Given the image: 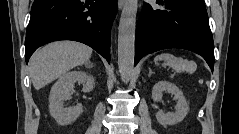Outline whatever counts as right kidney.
<instances>
[{
  "label": "right kidney",
  "mask_w": 239,
  "mask_h": 134,
  "mask_svg": "<svg viewBox=\"0 0 239 134\" xmlns=\"http://www.w3.org/2000/svg\"><path fill=\"white\" fill-rule=\"evenodd\" d=\"M76 82L83 84L85 93L93 90L94 78L83 71H71L63 74L53 85L49 95V110L51 116L60 125H68L75 121L83 111L81 104L71 108H63L64 101L70 98V92Z\"/></svg>",
  "instance_id": "obj_1"
}]
</instances>
